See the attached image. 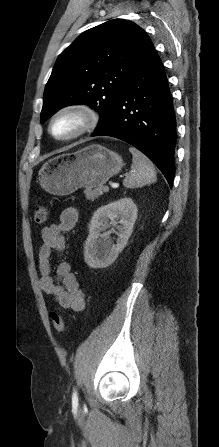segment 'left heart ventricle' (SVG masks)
Wrapping results in <instances>:
<instances>
[{"mask_svg":"<svg viewBox=\"0 0 219 447\" xmlns=\"http://www.w3.org/2000/svg\"><path fill=\"white\" fill-rule=\"evenodd\" d=\"M79 122L76 115L61 116L53 124V133L57 136L67 135L79 126Z\"/></svg>","mask_w":219,"mask_h":447,"instance_id":"b2bd125f","label":"left heart ventricle"}]
</instances>
